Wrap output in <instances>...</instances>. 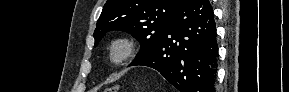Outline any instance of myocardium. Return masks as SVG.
Segmentation results:
<instances>
[{
    "instance_id": "1",
    "label": "myocardium",
    "mask_w": 289,
    "mask_h": 92,
    "mask_svg": "<svg viewBox=\"0 0 289 92\" xmlns=\"http://www.w3.org/2000/svg\"><path fill=\"white\" fill-rule=\"evenodd\" d=\"M137 54V43L129 36L113 38L107 47V60L110 65L119 67L130 62Z\"/></svg>"
}]
</instances>
